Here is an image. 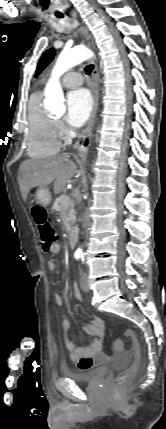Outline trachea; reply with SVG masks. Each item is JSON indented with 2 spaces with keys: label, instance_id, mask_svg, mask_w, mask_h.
Segmentation results:
<instances>
[{
  "label": "trachea",
  "instance_id": "1",
  "mask_svg": "<svg viewBox=\"0 0 166 429\" xmlns=\"http://www.w3.org/2000/svg\"><path fill=\"white\" fill-rule=\"evenodd\" d=\"M56 16H57V17H59V18H63V17H64V15H63L62 13H56ZM93 68H94V66H93V65H88V66H86V67H85V73H86L87 75H90V74H91V72H92V70H93Z\"/></svg>",
  "mask_w": 166,
  "mask_h": 429
}]
</instances>
